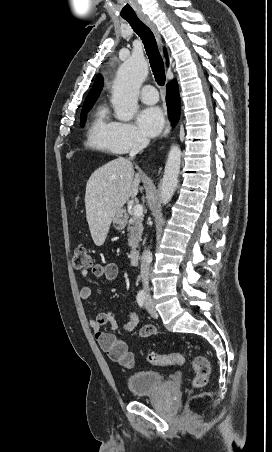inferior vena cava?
<instances>
[{"label":"inferior vena cava","mask_w":272,"mask_h":452,"mask_svg":"<svg viewBox=\"0 0 272 452\" xmlns=\"http://www.w3.org/2000/svg\"><path fill=\"white\" fill-rule=\"evenodd\" d=\"M149 144V139L138 136L130 151V158H134L142 149H144ZM152 259V254L149 250H144L141 256V266L140 273L142 278V284L145 290L146 298L150 299L149 294V266Z\"/></svg>","instance_id":"602c4592"}]
</instances>
